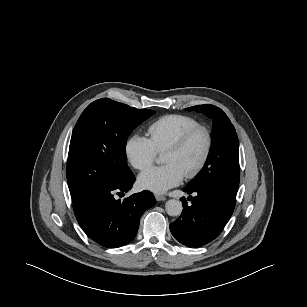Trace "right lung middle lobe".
<instances>
[{"label": "right lung middle lobe", "mask_w": 307, "mask_h": 307, "mask_svg": "<svg viewBox=\"0 0 307 307\" xmlns=\"http://www.w3.org/2000/svg\"><path fill=\"white\" fill-rule=\"evenodd\" d=\"M155 111L107 98L92 102L78 119L70 141L67 181L72 201L107 188L129 172L127 138Z\"/></svg>", "instance_id": "1"}]
</instances>
